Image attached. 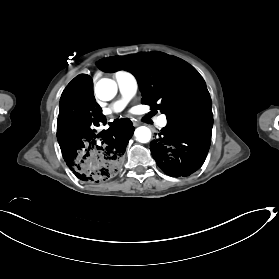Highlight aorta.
I'll use <instances>...</instances> for the list:
<instances>
[{"label":"aorta","instance_id":"1","mask_svg":"<svg viewBox=\"0 0 279 279\" xmlns=\"http://www.w3.org/2000/svg\"><path fill=\"white\" fill-rule=\"evenodd\" d=\"M95 93L100 100L109 101L117 94V84L111 79L103 78L97 82ZM135 136L139 142L147 143L151 139V131L146 126H140L135 130Z\"/></svg>","mask_w":279,"mask_h":279}]
</instances>
